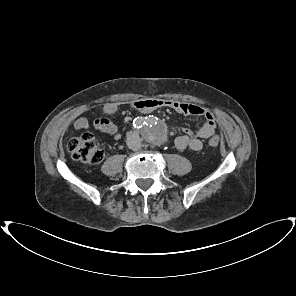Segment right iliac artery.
I'll list each match as a JSON object with an SVG mask.
<instances>
[{"label":"right iliac artery","mask_w":296,"mask_h":296,"mask_svg":"<svg viewBox=\"0 0 296 296\" xmlns=\"http://www.w3.org/2000/svg\"><path fill=\"white\" fill-rule=\"evenodd\" d=\"M144 124H145V122L143 121V119L142 118H138V117L133 122L134 128H137V129L138 128H141Z\"/></svg>","instance_id":"obj_1"}]
</instances>
